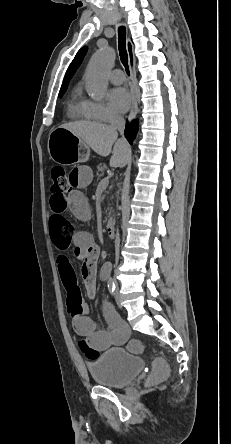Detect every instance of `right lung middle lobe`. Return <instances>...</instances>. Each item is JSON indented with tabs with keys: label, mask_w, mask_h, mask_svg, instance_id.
I'll list each match as a JSON object with an SVG mask.
<instances>
[{
	"label": "right lung middle lobe",
	"mask_w": 231,
	"mask_h": 444,
	"mask_svg": "<svg viewBox=\"0 0 231 444\" xmlns=\"http://www.w3.org/2000/svg\"><path fill=\"white\" fill-rule=\"evenodd\" d=\"M65 91H66V88H64V89H60L59 97H61V96L64 94Z\"/></svg>",
	"instance_id": "dd1d6c3e"
}]
</instances>
